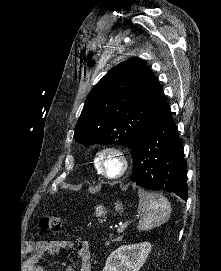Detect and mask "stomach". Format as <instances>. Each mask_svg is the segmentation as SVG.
<instances>
[{
  "label": "stomach",
  "mask_w": 221,
  "mask_h": 271,
  "mask_svg": "<svg viewBox=\"0 0 221 271\" xmlns=\"http://www.w3.org/2000/svg\"><path fill=\"white\" fill-rule=\"evenodd\" d=\"M124 207L121 203V201H117V203H115V211H123ZM107 211L104 207V205H96L95 207V215H97V217H104V215H106Z\"/></svg>",
  "instance_id": "1"
}]
</instances>
